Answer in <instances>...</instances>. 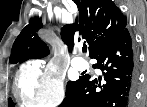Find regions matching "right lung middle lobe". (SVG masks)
<instances>
[{"instance_id":"1","label":"right lung middle lobe","mask_w":147,"mask_h":107,"mask_svg":"<svg viewBox=\"0 0 147 107\" xmlns=\"http://www.w3.org/2000/svg\"><path fill=\"white\" fill-rule=\"evenodd\" d=\"M75 84H76V81H69L68 82L67 87H66V94L73 89V87H74ZM9 103H10V106L13 105L11 99H9Z\"/></svg>"}]
</instances>
